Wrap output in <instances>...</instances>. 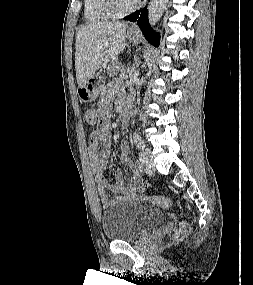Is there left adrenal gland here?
I'll return each mask as SVG.
<instances>
[{
    "mask_svg": "<svg viewBox=\"0 0 253 285\" xmlns=\"http://www.w3.org/2000/svg\"><path fill=\"white\" fill-rule=\"evenodd\" d=\"M135 65H136V67H138V66H139V63L137 62V59H136Z\"/></svg>",
    "mask_w": 253,
    "mask_h": 285,
    "instance_id": "left-adrenal-gland-1",
    "label": "left adrenal gland"
}]
</instances>
